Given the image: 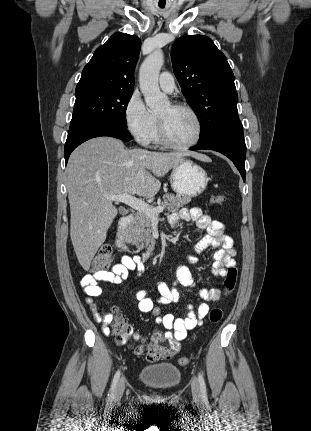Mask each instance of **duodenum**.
<instances>
[{
	"mask_svg": "<svg viewBox=\"0 0 311 431\" xmlns=\"http://www.w3.org/2000/svg\"><path fill=\"white\" fill-rule=\"evenodd\" d=\"M132 221H133V215L127 214V215L123 216L119 222V227H118V231H117L116 239H115V244L119 249H122V250L127 249V245H126V242L124 240V233L129 228ZM146 255L149 256L150 253H147Z\"/></svg>",
	"mask_w": 311,
	"mask_h": 431,
	"instance_id": "obj_1",
	"label": "duodenum"
}]
</instances>
